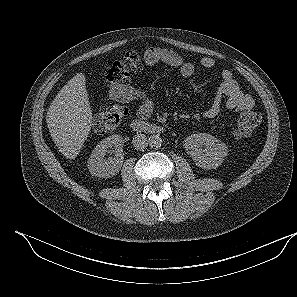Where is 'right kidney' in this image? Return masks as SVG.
<instances>
[{
    "label": "right kidney",
    "instance_id": "right-kidney-1",
    "mask_svg": "<svg viewBox=\"0 0 297 297\" xmlns=\"http://www.w3.org/2000/svg\"><path fill=\"white\" fill-rule=\"evenodd\" d=\"M123 138L120 135L109 136L100 141L88 160V169L93 176L109 178L116 175L123 164ZM114 149V157L105 155Z\"/></svg>",
    "mask_w": 297,
    "mask_h": 297
}]
</instances>
